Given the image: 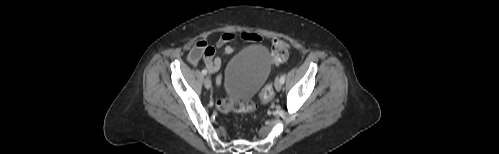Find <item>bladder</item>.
I'll list each match as a JSON object with an SVG mask.
<instances>
[{
	"label": "bladder",
	"instance_id": "obj_1",
	"mask_svg": "<svg viewBox=\"0 0 499 154\" xmlns=\"http://www.w3.org/2000/svg\"><path fill=\"white\" fill-rule=\"evenodd\" d=\"M272 67L268 48L253 45L242 49L226 64L222 92L227 99H251L267 81Z\"/></svg>",
	"mask_w": 499,
	"mask_h": 154
}]
</instances>
